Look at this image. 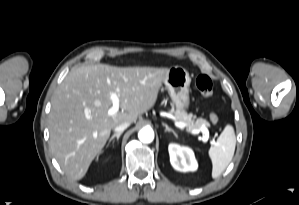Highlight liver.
<instances>
[{"label": "liver", "mask_w": 299, "mask_h": 205, "mask_svg": "<svg viewBox=\"0 0 299 205\" xmlns=\"http://www.w3.org/2000/svg\"><path fill=\"white\" fill-rule=\"evenodd\" d=\"M168 68L84 65L72 70L52 97L49 114L50 148L62 170L82 179L102 151L112 129L135 123L151 109ZM120 112L110 116L111 93Z\"/></svg>", "instance_id": "obj_1"}]
</instances>
